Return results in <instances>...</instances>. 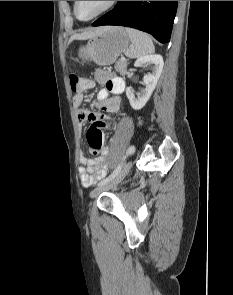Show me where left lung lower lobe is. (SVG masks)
Instances as JSON below:
<instances>
[{
	"label": "left lung lower lobe",
	"instance_id": "1",
	"mask_svg": "<svg viewBox=\"0 0 233 295\" xmlns=\"http://www.w3.org/2000/svg\"><path fill=\"white\" fill-rule=\"evenodd\" d=\"M177 1H118L92 26L120 25L150 33L161 43L170 40Z\"/></svg>",
	"mask_w": 233,
	"mask_h": 295
}]
</instances>
